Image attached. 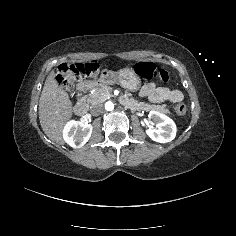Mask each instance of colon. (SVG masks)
Returning a JSON list of instances; mask_svg holds the SVG:
<instances>
[{
    "mask_svg": "<svg viewBox=\"0 0 236 236\" xmlns=\"http://www.w3.org/2000/svg\"><path fill=\"white\" fill-rule=\"evenodd\" d=\"M97 64H63L59 66L56 79L58 83L66 89H69L77 80L84 75H92L98 71ZM136 73L147 80L168 81L171 75L157 67L153 62H139L135 66ZM176 113L184 116L187 113V105L180 103L176 106Z\"/></svg>",
    "mask_w": 236,
    "mask_h": 236,
    "instance_id": "5ec220e1",
    "label": "colon"
}]
</instances>
